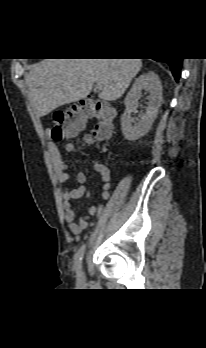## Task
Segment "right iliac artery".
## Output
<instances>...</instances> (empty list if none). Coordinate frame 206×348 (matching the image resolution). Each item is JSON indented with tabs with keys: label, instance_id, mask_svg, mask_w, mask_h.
<instances>
[{
	"label": "right iliac artery",
	"instance_id": "1",
	"mask_svg": "<svg viewBox=\"0 0 206 348\" xmlns=\"http://www.w3.org/2000/svg\"><path fill=\"white\" fill-rule=\"evenodd\" d=\"M97 207H102V202H97ZM84 251H85V245H82L75 256V269L78 275L81 269V263H82Z\"/></svg>",
	"mask_w": 206,
	"mask_h": 348
}]
</instances>
